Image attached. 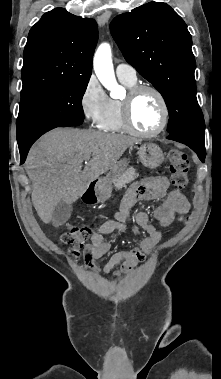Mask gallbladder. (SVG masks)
Masks as SVG:
<instances>
[{"mask_svg":"<svg viewBox=\"0 0 221 379\" xmlns=\"http://www.w3.org/2000/svg\"><path fill=\"white\" fill-rule=\"evenodd\" d=\"M72 211V204L63 200L59 201L52 214V223L56 226L63 225L70 218Z\"/></svg>","mask_w":221,"mask_h":379,"instance_id":"1","label":"gallbladder"}]
</instances>
